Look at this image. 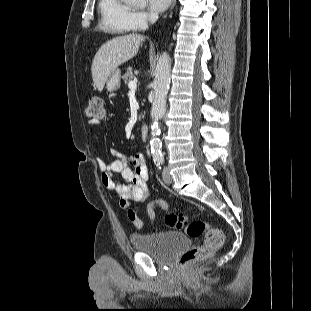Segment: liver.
<instances>
[{
  "mask_svg": "<svg viewBox=\"0 0 311 311\" xmlns=\"http://www.w3.org/2000/svg\"><path fill=\"white\" fill-rule=\"evenodd\" d=\"M145 37L129 34L116 37L103 44L97 51L91 66L93 82L102 91L108 77L123 63L137 55Z\"/></svg>",
  "mask_w": 311,
  "mask_h": 311,
  "instance_id": "liver-1",
  "label": "liver"
}]
</instances>
